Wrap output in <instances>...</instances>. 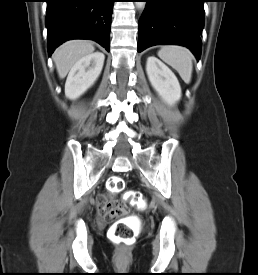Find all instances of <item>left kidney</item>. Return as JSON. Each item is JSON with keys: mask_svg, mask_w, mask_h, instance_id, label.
<instances>
[{"mask_svg": "<svg viewBox=\"0 0 258 275\" xmlns=\"http://www.w3.org/2000/svg\"><path fill=\"white\" fill-rule=\"evenodd\" d=\"M146 72L152 87L169 105L181 99L179 81L171 69L154 56H150L146 63Z\"/></svg>", "mask_w": 258, "mask_h": 275, "instance_id": "5707ae66", "label": "left kidney"}]
</instances>
